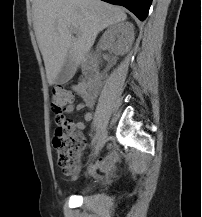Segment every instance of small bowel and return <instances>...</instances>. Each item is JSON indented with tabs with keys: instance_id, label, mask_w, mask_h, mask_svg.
<instances>
[{
	"instance_id": "obj_1",
	"label": "small bowel",
	"mask_w": 202,
	"mask_h": 217,
	"mask_svg": "<svg viewBox=\"0 0 202 217\" xmlns=\"http://www.w3.org/2000/svg\"><path fill=\"white\" fill-rule=\"evenodd\" d=\"M73 91L81 97L82 101L78 103L76 106H70L66 113H71L74 109L76 110H84L87 108H92L95 102V98L97 93L90 94L86 90L85 84H79L77 86L73 87ZM85 121H91L92 114L90 112H87L84 115ZM71 125L76 128L83 130L85 127V124L83 122H71ZM121 156L118 151H112L107 156L99 159L95 164H93L89 170L90 174L92 176H96L97 172L100 171L105 174H110L112 171L115 170L116 165L120 162Z\"/></svg>"
}]
</instances>
